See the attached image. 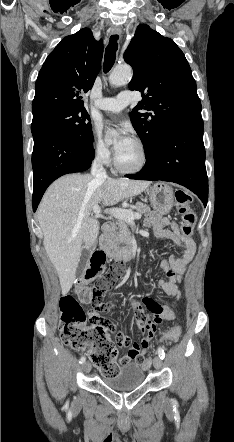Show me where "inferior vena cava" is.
Wrapping results in <instances>:
<instances>
[{
  "mask_svg": "<svg viewBox=\"0 0 234 442\" xmlns=\"http://www.w3.org/2000/svg\"><path fill=\"white\" fill-rule=\"evenodd\" d=\"M91 174L100 180H105L107 179V173L102 165V155L98 154V156L96 157L92 168H91Z\"/></svg>",
  "mask_w": 234,
  "mask_h": 442,
  "instance_id": "1",
  "label": "inferior vena cava"
}]
</instances>
